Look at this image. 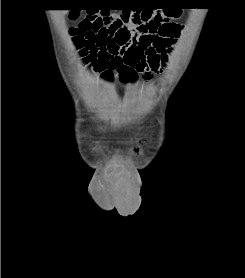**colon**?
I'll return each instance as SVG.
<instances>
[{
    "instance_id": "obj_1",
    "label": "colon",
    "mask_w": 245,
    "mask_h": 278,
    "mask_svg": "<svg viewBox=\"0 0 245 278\" xmlns=\"http://www.w3.org/2000/svg\"><path fill=\"white\" fill-rule=\"evenodd\" d=\"M87 34V45L83 50L79 46V34ZM70 35L76 49L88 54L91 58L103 57V49L94 46L96 42L102 46L108 38L125 47L134 45L138 39L142 47H149L148 53L164 54L170 50L179 36L178 26L169 19L162 17L150 8H133L123 10L114 17L103 16L90 20L80 21L70 29Z\"/></svg>"
}]
</instances>
